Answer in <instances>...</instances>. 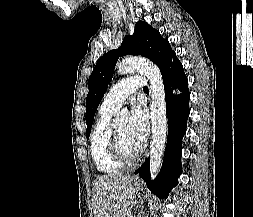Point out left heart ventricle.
I'll list each match as a JSON object with an SVG mask.
<instances>
[{
  "label": "left heart ventricle",
  "mask_w": 253,
  "mask_h": 217,
  "mask_svg": "<svg viewBox=\"0 0 253 217\" xmlns=\"http://www.w3.org/2000/svg\"><path fill=\"white\" fill-rule=\"evenodd\" d=\"M115 130L120 138L121 144L125 152L134 153L140 147L129 135L128 125L126 123L115 126Z\"/></svg>",
  "instance_id": "left-heart-ventricle-1"
}]
</instances>
